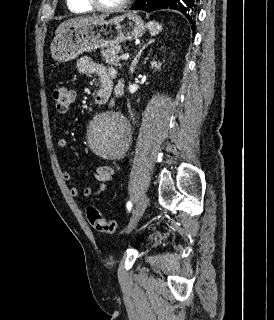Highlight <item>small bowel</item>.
<instances>
[{"label":"small bowel","mask_w":274,"mask_h":320,"mask_svg":"<svg viewBox=\"0 0 274 320\" xmlns=\"http://www.w3.org/2000/svg\"><path fill=\"white\" fill-rule=\"evenodd\" d=\"M78 72L83 76H97L100 81V91H105L111 96L112 94L120 95L123 91V85L120 81L116 82V73L108 69L101 62L89 57L82 56L76 63ZM66 139H60L57 143L58 148L64 149L67 146ZM62 178L66 182H73V177L65 169L60 171ZM115 170L110 165H102L93 171L94 179L98 185L92 189L89 186H72L69 194L73 198L87 199L98 197L106 190V185L114 176Z\"/></svg>","instance_id":"obj_1"}]
</instances>
